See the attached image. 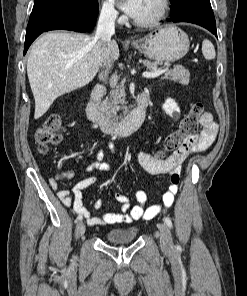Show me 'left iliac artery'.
<instances>
[{"mask_svg":"<svg viewBox=\"0 0 247 296\" xmlns=\"http://www.w3.org/2000/svg\"><path fill=\"white\" fill-rule=\"evenodd\" d=\"M164 222L168 227L172 228V221L168 217H164Z\"/></svg>","mask_w":247,"mask_h":296,"instance_id":"obj_1","label":"left iliac artery"}]
</instances>
